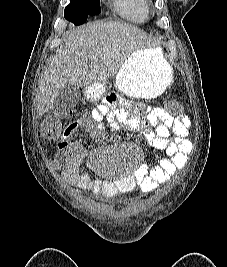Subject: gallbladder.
<instances>
[{
	"label": "gallbladder",
	"mask_w": 227,
	"mask_h": 267,
	"mask_svg": "<svg viewBox=\"0 0 227 267\" xmlns=\"http://www.w3.org/2000/svg\"><path fill=\"white\" fill-rule=\"evenodd\" d=\"M81 98L79 88L72 85L62 88L52 106V111L64 115L72 110Z\"/></svg>",
	"instance_id": "1"
}]
</instances>
